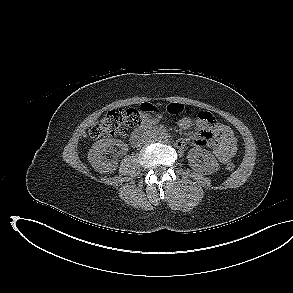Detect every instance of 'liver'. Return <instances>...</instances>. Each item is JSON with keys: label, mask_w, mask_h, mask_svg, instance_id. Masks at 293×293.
<instances>
[{"label": "liver", "mask_w": 293, "mask_h": 293, "mask_svg": "<svg viewBox=\"0 0 293 293\" xmlns=\"http://www.w3.org/2000/svg\"><path fill=\"white\" fill-rule=\"evenodd\" d=\"M96 118H97V116H96L94 119H96ZM91 122H93V120H90V121H89V123H91Z\"/></svg>", "instance_id": "1"}]
</instances>
